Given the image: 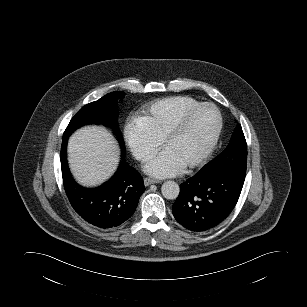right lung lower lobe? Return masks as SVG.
Masks as SVG:
<instances>
[{
  "mask_svg": "<svg viewBox=\"0 0 307 307\" xmlns=\"http://www.w3.org/2000/svg\"><path fill=\"white\" fill-rule=\"evenodd\" d=\"M67 140L68 137L63 136L60 158L65 191L74 210L102 229L114 228L127 221L145 191L140 174L122 161L114 176L102 186L84 188L70 174L66 160Z\"/></svg>",
  "mask_w": 307,
  "mask_h": 307,
  "instance_id": "1",
  "label": "right lung lower lobe"
}]
</instances>
